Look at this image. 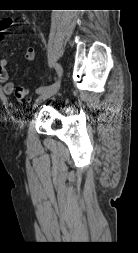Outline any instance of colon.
Masks as SVG:
<instances>
[{"label": "colon", "mask_w": 138, "mask_h": 253, "mask_svg": "<svg viewBox=\"0 0 138 253\" xmlns=\"http://www.w3.org/2000/svg\"><path fill=\"white\" fill-rule=\"evenodd\" d=\"M14 96L19 102H30L29 91L25 86H17L14 91Z\"/></svg>", "instance_id": "1"}]
</instances>
